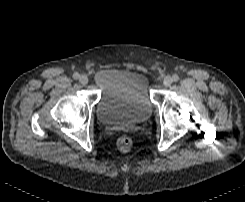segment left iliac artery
I'll list each match as a JSON object with an SVG mask.
<instances>
[{"instance_id":"44dca946","label":"left iliac artery","mask_w":245,"mask_h":202,"mask_svg":"<svg viewBox=\"0 0 245 202\" xmlns=\"http://www.w3.org/2000/svg\"><path fill=\"white\" fill-rule=\"evenodd\" d=\"M172 80H173L174 82H177V81L179 80V76L176 75V74H174V75L172 76Z\"/></svg>"}]
</instances>
